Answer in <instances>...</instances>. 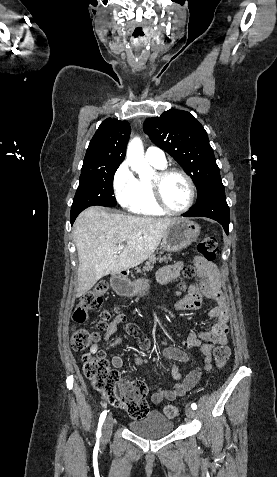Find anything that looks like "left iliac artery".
Masks as SVG:
<instances>
[{
  "instance_id": "left-iliac-artery-1",
  "label": "left iliac artery",
  "mask_w": 277,
  "mask_h": 477,
  "mask_svg": "<svg viewBox=\"0 0 277 477\" xmlns=\"http://www.w3.org/2000/svg\"><path fill=\"white\" fill-rule=\"evenodd\" d=\"M191 407H192L193 410H196V409H197V405H196L195 403H192V404H191Z\"/></svg>"
}]
</instances>
